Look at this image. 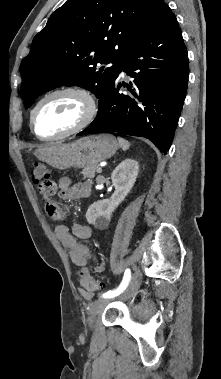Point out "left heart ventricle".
<instances>
[{
    "instance_id": "b2bd125f",
    "label": "left heart ventricle",
    "mask_w": 221,
    "mask_h": 379,
    "mask_svg": "<svg viewBox=\"0 0 221 379\" xmlns=\"http://www.w3.org/2000/svg\"><path fill=\"white\" fill-rule=\"evenodd\" d=\"M85 113L84 101L72 94H61L47 99L38 109L34 127L40 136L60 134L75 126Z\"/></svg>"
}]
</instances>
